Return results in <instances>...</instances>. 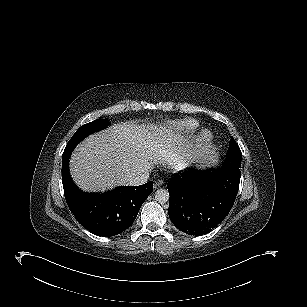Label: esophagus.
<instances>
[{
	"instance_id": "34e87169",
	"label": "esophagus",
	"mask_w": 307,
	"mask_h": 307,
	"mask_svg": "<svg viewBox=\"0 0 307 307\" xmlns=\"http://www.w3.org/2000/svg\"><path fill=\"white\" fill-rule=\"evenodd\" d=\"M163 184H164V181H163V180H157V181L154 183V188H155V189H158V188H160Z\"/></svg>"
}]
</instances>
